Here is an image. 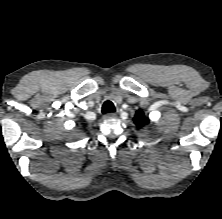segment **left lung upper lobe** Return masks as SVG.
Here are the masks:
<instances>
[{"label": "left lung upper lobe", "mask_w": 222, "mask_h": 219, "mask_svg": "<svg viewBox=\"0 0 222 219\" xmlns=\"http://www.w3.org/2000/svg\"><path fill=\"white\" fill-rule=\"evenodd\" d=\"M135 124L140 128L149 123V119L145 117L142 110H138L133 118Z\"/></svg>", "instance_id": "left-lung-upper-lobe-1"}]
</instances>
